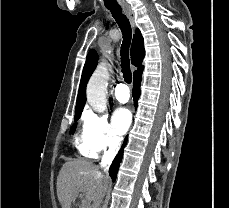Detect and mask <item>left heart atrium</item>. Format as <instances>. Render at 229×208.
I'll return each instance as SVG.
<instances>
[{
    "label": "left heart atrium",
    "mask_w": 229,
    "mask_h": 208,
    "mask_svg": "<svg viewBox=\"0 0 229 208\" xmlns=\"http://www.w3.org/2000/svg\"><path fill=\"white\" fill-rule=\"evenodd\" d=\"M113 127L118 135H123L131 125V114L127 108L121 107L115 110L112 117Z\"/></svg>",
    "instance_id": "obj_1"
}]
</instances>
